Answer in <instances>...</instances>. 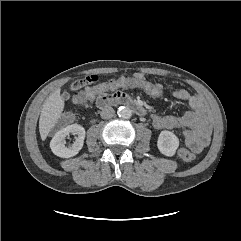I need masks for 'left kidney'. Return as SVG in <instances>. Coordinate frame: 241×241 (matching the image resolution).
Segmentation results:
<instances>
[{"mask_svg": "<svg viewBox=\"0 0 241 241\" xmlns=\"http://www.w3.org/2000/svg\"><path fill=\"white\" fill-rule=\"evenodd\" d=\"M157 147L165 156H173L179 147V139L170 131H161L158 137Z\"/></svg>", "mask_w": 241, "mask_h": 241, "instance_id": "1", "label": "left kidney"}]
</instances>
